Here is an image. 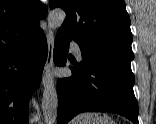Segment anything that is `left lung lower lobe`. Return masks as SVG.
I'll use <instances>...</instances> for the list:
<instances>
[{
  "label": "left lung lower lobe",
  "mask_w": 156,
  "mask_h": 124,
  "mask_svg": "<svg viewBox=\"0 0 156 124\" xmlns=\"http://www.w3.org/2000/svg\"><path fill=\"white\" fill-rule=\"evenodd\" d=\"M71 40L57 33L54 61L58 66L65 65ZM73 65L71 77L58 79V124L82 112H113L139 124L131 66L107 57L83 58L81 64Z\"/></svg>",
  "instance_id": "1"
}]
</instances>
